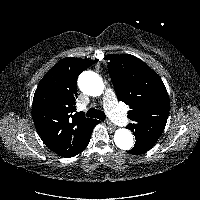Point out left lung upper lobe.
<instances>
[{
    "instance_id": "5c2ea615",
    "label": "left lung upper lobe",
    "mask_w": 200,
    "mask_h": 200,
    "mask_svg": "<svg viewBox=\"0 0 200 200\" xmlns=\"http://www.w3.org/2000/svg\"><path fill=\"white\" fill-rule=\"evenodd\" d=\"M108 72L118 100L130 106L128 118L136 141L154 145L163 132L170 103L161 78L147 64L130 54H109Z\"/></svg>"
}]
</instances>
